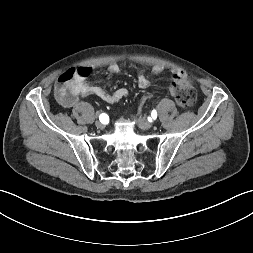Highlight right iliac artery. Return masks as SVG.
Wrapping results in <instances>:
<instances>
[{"label":"right iliac artery","mask_w":253,"mask_h":253,"mask_svg":"<svg viewBox=\"0 0 253 253\" xmlns=\"http://www.w3.org/2000/svg\"><path fill=\"white\" fill-rule=\"evenodd\" d=\"M99 120H100L102 123H105V122L108 120V115L105 114V113L100 114Z\"/></svg>","instance_id":"82829eb1"}]
</instances>
